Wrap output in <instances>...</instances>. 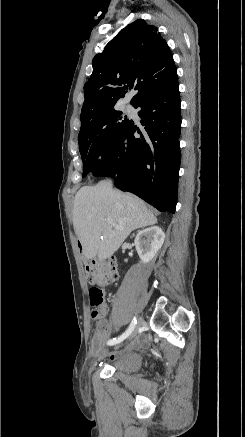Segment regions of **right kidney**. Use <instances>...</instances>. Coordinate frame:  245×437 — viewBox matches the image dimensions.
Instances as JSON below:
<instances>
[{"instance_id": "obj_1", "label": "right kidney", "mask_w": 245, "mask_h": 437, "mask_svg": "<svg viewBox=\"0 0 245 437\" xmlns=\"http://www.w3.org/2000/svg\"><path fill=\"white\" fill-rule=\"evenodd\" d=\"M165 234L158 226H152L138 232L135 238L136 251L143 263L150 262L162 247Z\"/></svg>"}]
</instances>
